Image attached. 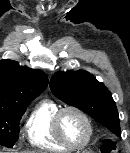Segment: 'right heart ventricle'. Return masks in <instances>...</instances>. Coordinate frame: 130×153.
Returning <instances> with one entry per match:
<instances>
[{
  "instance_id": "e07e8e85",
  "label": "right heart ventricle",
  "mask_w": 130,
  "mask_h": 153,
  "mask_svg": "<svg viewBox=\"0 0 130 153\" xmlns=\"http://www.w3.org/2000/svg\"><path fill=\"white\" fill-rule=\"evenodd\" d=\"M59 109L51 99L40 101L32 109L24 125V136L32 147L45 151L70 150L57 139L53 130V118Z\"/></svg>"
}]
</instances>
